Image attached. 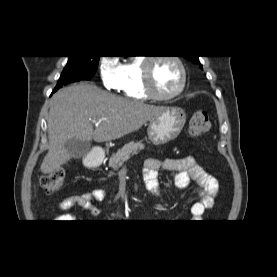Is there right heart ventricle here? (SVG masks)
Returning <instances> with one entry per match:
<instances>
[{"instance_id": "right-heart-ventricle-1", "label": "right heart ventricle", "mask_w": 277, "mask_h": 277, "mask_svg": "<svg viewBox=\"0 0 277 277\" xmlns=\"http://www.w3.org/2000/svg\"><path fill=\"white\" fill-rule=\"evenodd\" d=\"M143 62L142 57H136L121 65L122 84L120 90L130 99L140 101L149 99L142 84Z\"/></svg>"}]
</instances>
